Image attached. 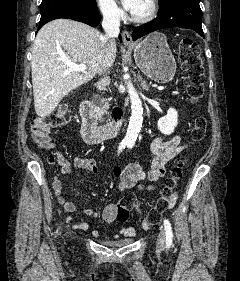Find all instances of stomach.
Wrapping results in <instances>:
<instances>
[{"mask_svg": "<svg viewBox=\"0 0 240 281\" xmlns=\"http://www.w3.org/2000/svg\"><path fill=\"white\" fill-rule=\"evenodd\" d=\"M140 70L158 83L172 80L176 61L162 33H152L141 42L131 46Z\"/></svg>", "mask_w": 240, "mask_h": 281, "instance_id": "obj_1", "label": "stomach"}]
</instances>
